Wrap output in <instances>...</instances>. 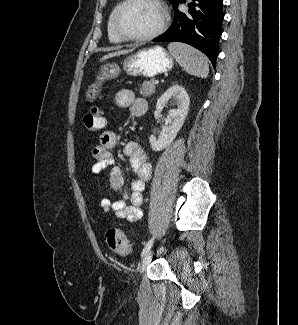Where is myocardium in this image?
Here are the masks:
<instances>
[{"mask_svg": "<svg viewBox=\"0 0 298 325\" xmlns=\"http://www.w3.org/2000/svg\"><path fill=\"white\" fill-rule=\"evenodd\" d=\"M138 2L148 3L155 8V10L157 11V13L159 15V23H158V26L153 31H151L150 33H148L146 35H143L140 37H130V36L125 35L119 28V18L121 16L122 12L124 11V9L128 5L133 4V3H138ZM165 26H166V12L158 0H126L123 3H121L119 5V7L117 8L115 15L113 17V22H112V27H113L114 33L121 41L126 42V43H128V42L142 43V42L150 41V40L156 38L158 35H160L163 32Z\"/></svg>", "mask_w": 298, "mask_h": 325, "instance_id": "obj_1", "label": "myocardium"}]
</instances>
